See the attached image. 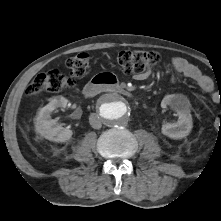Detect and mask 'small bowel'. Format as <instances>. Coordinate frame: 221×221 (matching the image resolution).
Instances as JSON below:
<instances>
[{
  "label": "small bowel",
  "instance_id": "1",
  "mask_svg": "<svg viewBox=\"0 0 221 221\" xmlns=\"http://www.w3.org/2000/svg\"><path fill=\"white\" fill-rule=\"evenodd\" d=\"M172 67L174 70L173 80H176L179 76H184L195 81L198 86L206 93L210 94L211 100L215 103L219 102V96L214 92L213 82L206 75L202 74L200 69L194 64L188 62L186 59L176 57L172 59ZM150 72H144L136 74L135 79L145 80L149 77Z\"/></svg>",
  "mask_w": 221,
  "mask_h": 221
}]
</instances>
